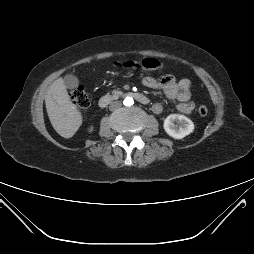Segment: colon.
I'll return each mask as SVG.
<instances>
[{
	"instance_id": "5ec220e1",
	"label": "colon",
	"mask_w": 254,
	"mask_h": 254,
	"mask_svg": "<svg viewBox=\"0 0 254 254\" xmlns=\"http://www.w3.org/2000/svg\"><path fill=\"white\" fill-rule=\"evenodd\" d=\"M123 65L129 68H140L142 70H157L162 68L161 62L153 57L144 58L140 61H126ZM71 99L82 112H86L90 107L91 102L89 95L81 86H77L71 91ZM198 113L201 116H206L208 113L207 107L205 105H200L198 107Z\"/></svg>"
}]
</instances>
